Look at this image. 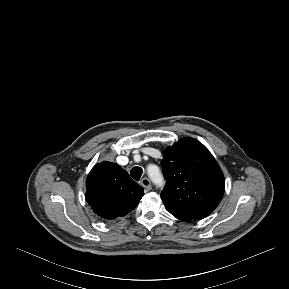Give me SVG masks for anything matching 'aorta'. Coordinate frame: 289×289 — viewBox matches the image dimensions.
Instances as JSON below:
<instances>
[{"label": "aorta", "instance_id": "1", "mask_svg": "<svg viewBox=\"0 0 289 289\" xmlns=\"http://www.w3.org/2000/svg\"><path fill=\"white\" fill-rule=\"evenodd\" d=\"M155 166H150L148 168V175L150 179L158 186L163 185V176L161 173L157 170L155 171Z\"/></svg>", "mask_w": 289, "mask_h": 289}]
</instances>
